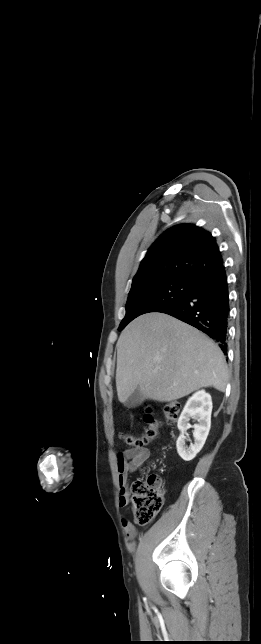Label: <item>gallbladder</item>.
Segmentation results:
<instances>
[{
  "label": "gallbladder",
  "instance_id": "gallbladder-1",
  "mask_svg": "<svg viewBox=\"0 0 261 644\" xmlns=\"http://www.w3.org/2000/svg\"><path fill=\"white\" fill-rule=\"evenodd\" d=\"M143 400H144V399H143V396H142V394H141L140 390L137 388V389H136V390H135V391H134V392L129 396V398L126 400V402L124 403V405H125L127 408H136V407H138L139 405H141V404H142Z\"/></svg>",
  "mask_w": 261,
  "mask_h": 644
}]
</instances>
